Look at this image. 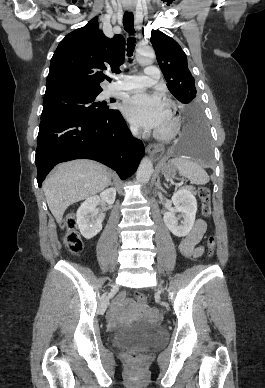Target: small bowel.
Segmentation results:
<instances>
[{"label":"small bowel","mask_w":265,"mask_h":388,"mask_svg":"<svg viewBox=\"0 0 265 388\" xmlns=\"http://www.w3.org/2000/svg\"><path fill=\"white\" fill-rule=\"evenodd\" d=\"M206 231V223L202 219H197L190 233L183 238L180 243V252L186 257H198L203 253V248L198 246ZM115 322V318L112 317Z\"/></svg>","instance_id":"1"}]
</instances>
